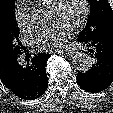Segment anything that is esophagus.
Masks as SVG:
<instances>
[{"instance_id":"1","label":"esophagus","mask_w":113,"mask_h":113,"mask_svg":"<svg viewBox=\"0 0 113 113\" xmlns=\"http://www.w3.org/2000/svg\"><path fill=\"white\" fill-rule=\"evenodd\" d=\"M59 53H65L68 56H73L76 51L74 49H66V50H61Z\"/></svg>"}]
</instances>
